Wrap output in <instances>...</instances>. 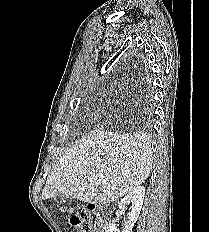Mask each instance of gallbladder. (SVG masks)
Instances as JSON below:
<instances>
[{
    "mask_svg": "<svg viewBox=\"0 0 209 232\" xmlns=\"http://www.w3.org/2000/svg\"><path fill=\"white\" fill-rule=\"evenodd\" d=\"M68 199V197L64 194H58L56 197H55V201L56 203H64L66 200Z\"/></svg>",
    "mask_w": 209,
    "mask_h": 232,
    "instance_id": "gallbladder-1",
    "label": "gallbladder"
}]
</instances>
